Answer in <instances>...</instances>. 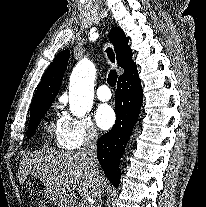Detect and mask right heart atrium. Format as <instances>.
Returning <instances> with one entry per match:
<instances>
[{
  "instance_id": "right-heart-atrium-1",
  "label": "right heart atrium",
  "mask_w": 206,
  "mask_h": 207,
  "mask_svg": "<svg viewBox=\"0 0 206 207\" xmlns=\"http://www.w3.org/2000/svg\"><path fill=\"white\" fill-rule=\"evenodd\" d=\"M58 126V143L62 148H88L99 140V132L88 117H74L65 112Z\"/></svg>"
}]
</instances>
